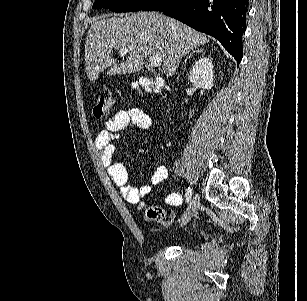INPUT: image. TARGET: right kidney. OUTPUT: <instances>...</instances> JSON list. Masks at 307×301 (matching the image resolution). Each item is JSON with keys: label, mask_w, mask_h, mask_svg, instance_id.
Wrapping results in <instances>:
<instances>
[{"label": "right kidney", "mask_w": 307, "mask_h": 301, "mask_svg": "<svg viewBox=\"0 0 307 301\" xmlns=\"http://www.w3.org/2000/svg\"><path fill=\"white\" fill-rule=\"evenodd\" d=\"M188 76L189 80H191L195 86H200V88H212V86H214L212 58L204 56V58L196 60Z\"/></svg>", "instance_id": "1"}]
</instances>
